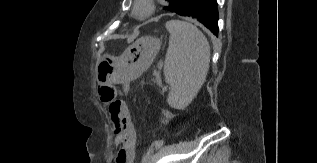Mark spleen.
Listing matches in <instances>:
<instances>
[{"label":"spleen","mask_w":317,"mask_h":163,"mask_svg":"<svg viewBox=\"0 0 317 163\" xmlns=\"http://www.w3.org/2000/svg\"><path fill=\"white\" fill-rule=\"evenodd\" d=\"M170 33L164 64L165 81L170 85L168 104L186 108L203 85L209 69L210 46L204 34L193 24L170 20Z\"/></svg>","instance_id":"spleen-1"}]
</instances>
